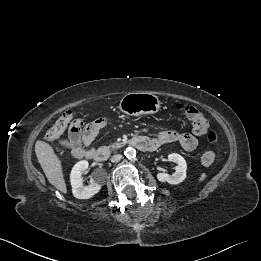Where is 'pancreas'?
<instances>
[{
	"mask_svg": "<svg viewBox=\"0 0 261 261\" xmlns=\"http://www.w3.org/2000/svg\"><path fill=\"white\" fill-rule=\"evenodd\" d=\"M122 146H123V143H120V142H114V143L109 145V147L112 148V149L120 148Z\"/></svg>",
	"mask_w": 261,
	"mask_h": 261,
	"instance_id": "1",
	"label": "pancreas"
}]
</instances>
